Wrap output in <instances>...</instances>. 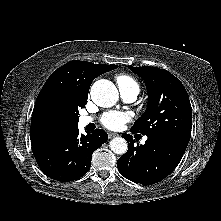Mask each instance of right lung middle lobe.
I'll list each match as a JSON object with an SVG mask.
<instances>
[{"label":"right lung middle lobe","instance_id":"right-lung-middle-lobe-1","mask_svg":"<svg viewBox=\"0 0 221 221\" xmlns=\"http://www.w3.org/2000/svg\"><path fill=\"white\" fill-rule=\"evenodd\" d=\"M78 114H79L78 112L75 113V117H76L77 121L79 120L78 119Z\"/></svg>","mask_w":221,"mask_h":221}]
</instances>
